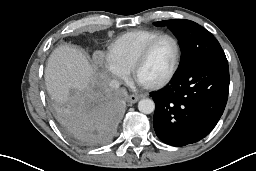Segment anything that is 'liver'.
<instances>
[{
    "label": "liver",
    "instance_id": "1",
    "mask_svg": "<svg viewBox=\"0 0 256 171\" xmlns=\"http://www.w3.org/2000/svg\"><path fill=\"white\" fill-rule=\"evenodd\" d=\"M96 82L95 71L80 50L63 45L57 47L48 58L45 83L51 98L59 104L68 103L72 89L84 97L89 96L91 86Z\"/></svg>",
    "mask_w": 256,
    "mask_h": 171
}]
</instances>
